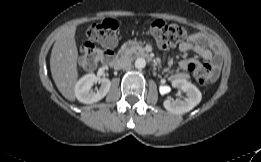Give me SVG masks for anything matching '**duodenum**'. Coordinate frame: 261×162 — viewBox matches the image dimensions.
<instances>
[{"instance_id":"1","label":"duodenum","mask_w":261,"mask_h":162,"mask_svg":"<svg viewBox=\"0 0 261 162\" xmlns=\"http://www.w3.org/2000/svg\"><path fill=\"white\" fill-rule=\"evenodd\" d=\"M131 53L135 56H139L145 59H149V53L143 49L135 47L131 50ZM121 59L114 52H107L104 60V64L108 67H116L120 64Z\"/></svg>"}]
</instances>
